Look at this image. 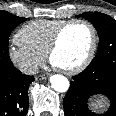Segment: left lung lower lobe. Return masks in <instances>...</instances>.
I'll return each instance as SVG.
<instances>
[{"label":"left lung lower lobe","mask_w":116,"mask_h":116,"mask_svg":"<svg viewBox=\"0 0 116 116\" xmlns=\"http://www.w3.org/2000/svg\"><path fill=\"white\" fill-rule=\"evenodd\" d=\"M97 95L108 99L109 107L104 113H95L89 108L90 99ZM63 106L65 116H116V57L91 62L73 76Z\"/></svg>","instance_id":"0a47b994"}]
</instances>
